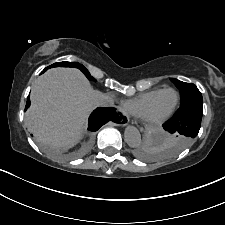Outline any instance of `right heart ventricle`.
I'll return each mask as SVG.
<instances>
[{
	"label": "right heart ventricle",
	"mask_w": 225,
	"mask_h": 225,
	"mask_svg": "<svg viewBox=\"0 0 225 225\" xmlns=\"http://www.w3.org/2000/svg\"><path fill=\"white\" fill-rule=\"evenodd\" d=\"M160 90L161 89L150 90L128 100L125 104L126 109L131 114L141 117L147 105Z\"/></svg>",
	"instance_id": "1"
}]
</instances>
